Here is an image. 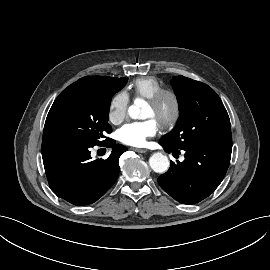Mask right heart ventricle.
I'll list each match as a JSON object with an SVG mask.
<instances>
[{
  "mask_svg": "<svg viewBox=\"0 0 270 270\" xmlns=\"http://www.w3.org/2000/svg\"><path fill=\"white\" fill-rule=\"evenodd\" d=\"M163 87V83L156 77L145 76L134 79L128 88L134 97L148 99Z\"/></svg>",
  "mask_w": 270,
  "mask_h": 270,
  "instance_id": "obj_1",
  "label": "right heart ventricle"
}]
</instances>
